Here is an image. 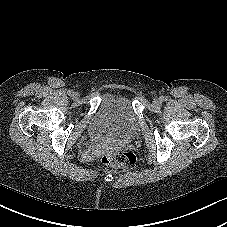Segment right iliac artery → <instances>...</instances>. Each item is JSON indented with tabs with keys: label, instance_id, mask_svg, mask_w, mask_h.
Instances as JSON below:
<instances>
[{
	"label": "right iliac artery",
	"instance_id": "82829eb1",
	"mask_svg": "<svg viewBox=\"0 0 227 227\" xmlns=\"http://www.w3.org/2000/svg\"><path fill=\"white\" fill-rule=\"evenodd\" d=\"M67 93L69 96H73V94H74L73 90H69Z\"/></svg>",
	"mask_w": 227,
	"mask_h": 227
}]
</instances>
